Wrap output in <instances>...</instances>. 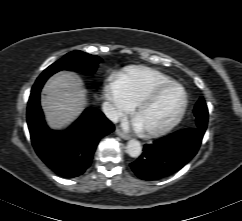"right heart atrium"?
<instances>
[{
  "label": "right heart atrium",
  "mask_w": 242,
  "mask_h": 221,
  "mask_svg": "<svg viewBox=\"0 0 242 221\" xmlns=\"http://www.w3.org/2000/svg\"><path fill=\"white\" fill-rule=\"evenodd\" d=\"M104 97L110 103L108 116L117 120L132 109V105L122 93L115 80H110L104 87Z\"/></svg>",
  "instance_id": "right-heart-atrium-1"
}]
</instances>
